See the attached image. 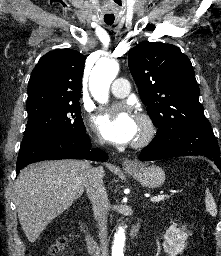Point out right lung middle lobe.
<instances>
[{
  "label": "right lung middle lobe",
  "mask_w": 221,
  "mask_h": 256,
  "mask_svg": "<svg viewBox=\"0 0 221 256\" xmlns=\"http://www.w3.org/2000/svg\"><path fill=\"white\" fill-rule=\"evenodd\" d=\"M28 111V122L20 147L36 139L63 131L85 132L80 104H42Z\"/></svg>",
  "instance_id": "dd1d6c3e"
}]
</instances>
